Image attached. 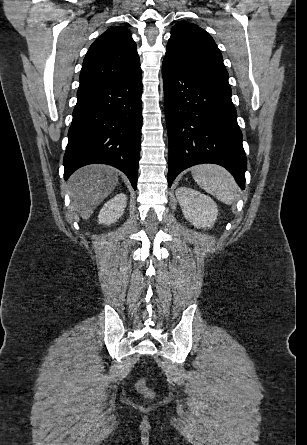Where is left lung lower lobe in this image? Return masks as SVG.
Returning a JSON list of instances; mask_svg holds the SVG:
<instances>
[{
  "label": "left lung lower lobe",
  "instance_id": "1",
  "mask_svg": "<svg viewBox=\"0 0 307 445\" xmlns=\"http://www.w3.org/2000/svg\"><path fill=\"white\" fill-rule=\"evenodd\" d=\"M162 73L169 186L184 169L215 163L228 169L244 189L247 160L231 94L200 83L167 60Z\"/></svg>",
  "mask_w": 307,
  "mask_h": 445
}]
</instances>
